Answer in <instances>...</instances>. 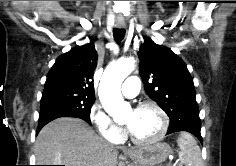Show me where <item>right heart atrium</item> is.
Masks as SVG:
<instances>
[{
  "instance_id": "obj_1",
  "label": "right heart atrium",
  "mask_w": 236,
  "mask_h": 166,
  "mask_svg": "<svg viewBox=\"0 0 236 166\" xmlns=\"http://www.w3.org/2000/svg\"><path fill=\"white\" fill-rule=\"evenodd\" d=\"M89 119L103 138L111 142H119L121 140V129L112 121L101 105L96 103L91 107Z\"/></svg>"
}]
</instances>
